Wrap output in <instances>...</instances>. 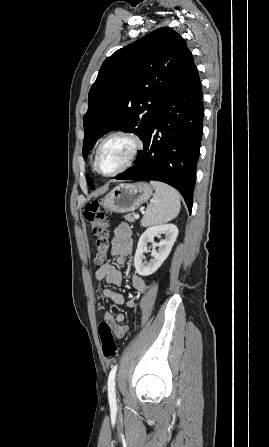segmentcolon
Segmentation results:
<instances>
[{
  "instance_id": "5ec220e1",
  "label": "colon",
  "mask_w": 269,
  "mask_h": 447,
  "mask_svg": "<svg viewBox=\"0 0 269 447\" xmlns=\"http://www.w3.org/2000/svg\"><path fill=\"white\" fill-rule=\"evenodd\" d=\"M82 215L89 230L95 236L93 263L101 264L106 261L111 246L110 223L97 203L86 206ZM150 305H153V302H150ZM135 326H138V323H135ZM97 331L104 356L107 358L116 357L119 349L114 340L111 325L106 321H101L98 324Z\"/></svg>"
}]
</instances>
